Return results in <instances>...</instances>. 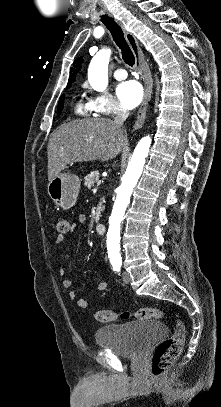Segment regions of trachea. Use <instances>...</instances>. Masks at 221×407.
I'll return each instance as SVG.
<instances>
[{
    "label": "trachea",
    "instance_id": "trachea-1",
    "mask_svg": "<svg viewBox=\"0 0 221 407\" xmlns=\"http://www.w3.org/2000/svg\"><path fill=\"white\" fill-rule=\"evenodd\" d=\"M101 21L103 24L107 27V29L111 32V35L113 37V40L117 44V46L121 49L122 53V58L126 64H128L131 67H134L135 65V57L126 43V40L124 38V33L121 29V27L114 21L113 18L108 17L107 15H102Z\"/></svg>",
    "mask_w": 221,
    "mask_h": 407
}]
</instances>
